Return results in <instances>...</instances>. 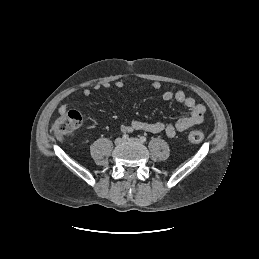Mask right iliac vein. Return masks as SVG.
Segmentation results:
<instances>
[{
    "instance_id": "1",
    "label": "right iliac vein",
    "mask_w": 259,
    "mask_h": 259,
    "mask_svg": "<svg viewBox=\"0 0 259 259\" xmlns=\"http://www.w3.org/2000/svg\"><path fill=\"white\" fill-rule=\"evenodd\" d=\"M123 143V139L122 138H117L116 140H115V144L116 145H121Z\"/></svg>"
}]
</instances>
